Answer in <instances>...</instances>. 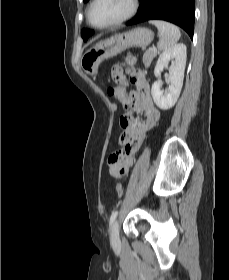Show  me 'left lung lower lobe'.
<instances>
[{
	"label": "left lung lower lobe",
	"instance_id": "left-lung-lower-lobe-1",
	"mask_svg": "<svg viewBox=\"0 0 229 280\" xmlns=\"http://www.w3.org/2000/svg\"><path fill=\"white\" fill-rule=\"evenodd\" d=\"M195 0H141L138 14L127 25L147 20H165L184 29L193 38Z\"/></svg>",
	"mask_w": 229,
	"mask_h": 280
}]
</instances>
